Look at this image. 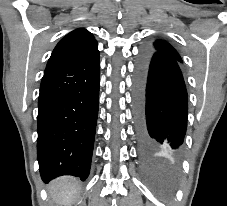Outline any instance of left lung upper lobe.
Returning a JSON list of instances; mask_svg holds the SVG:
<instances>
[{
	"label": "left lung upper lobe",
	"mask_w": 227,
	"mask_h": 206,
	"mask_svg": "<svg viewBox=\"0 0 227 206\" xmlns=\"http://www.w3.org/2000/svg\"><path fill=\"white\" fill-rule=\"evenodd\" d=\"M152 53L165 55L172 59H175L179 62H182V59L178 52L166 41L156 40L150 47L147 48Z\"/></svg>",
	"instance_id": "1"
}]
</instances>
